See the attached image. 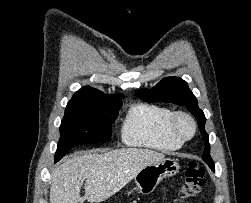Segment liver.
Wrapping results in <instances>:
<instances>
[{
    "label": "liver",
    "instance_id": "liver-1",
    "mask_svg": "<svg viewBox=\"0 0 251 203\" xmlns=\"http://www.w3.org/2000/svg\"><path fill=\"white\" fill-rule=\"evenodd\" d=\"M164 154L142 148H123L100 154L76 152L52 171L50 203H100L121 190L144 167L162 161ZM85 181V195L80 189Z\"/></svg>",
    "mask_w": 251,
    "mask_h": 203
}]
</instances>
